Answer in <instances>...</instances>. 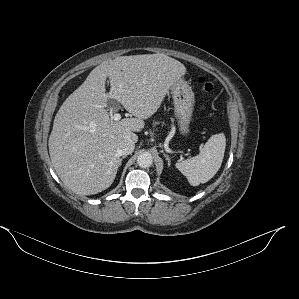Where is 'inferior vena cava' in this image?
I'll list each match as a JSON object with an SVG mask.
<instances>
[{
  "label": "inferior vena cava",
  "instance_id": "obj_1",
  "mask_svg": "<svg viewBox=\"0 0 299 299\" xmlns=\"http://www.w3.org/2000/svg\"><path fill=\"white\" fill-rule=\"evenodd\" d=\"M135 143L131 139H123L118 144V153L120 155H128L134 151Z\"/></svg>",
  "mask_w": 299,
  "mask_h": 299
}]
</instances>
